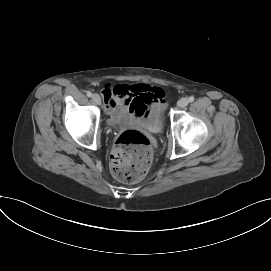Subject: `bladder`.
<instances>
[{
	"label": "bladder",
	"instance_id": "31cf9c89",
	"mask_svg": "<svg viewBox=\"0 0 271 271\" xmlns=\"http://www.w3.org/2000/svg\"><path fill=\"white\" fill-rule=\"evenodd\" d=\"M164 125V119L162 112H158L157 114L153 115L150 121L147 123V127L153 132H159L162 130Z\"/></svg>",
	"mask_w": 271,
	"mask_h": 271
}]
</instances>
